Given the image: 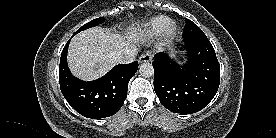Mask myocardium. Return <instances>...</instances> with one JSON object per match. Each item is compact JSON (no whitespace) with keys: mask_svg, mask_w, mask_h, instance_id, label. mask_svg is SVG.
I'll return each mask as SVG.
<instances>
[{"mask_svg":"<svg viewBox=\"0 0 276 138\" xmlns=\"http://www.w3.org/2000/svg\"><path fill=\"white\" fill-rule=\"evenodd\" d=\"M177 31V25L174 21L170 20L163 29V35L166 38L174 36Z\"/></svg>","mask_w":276,"mask_h":138,"instance_id":"f54148a6","label":"myocardium"}]
</instances>
